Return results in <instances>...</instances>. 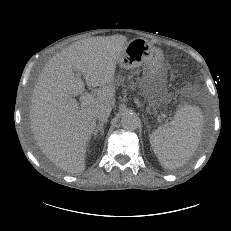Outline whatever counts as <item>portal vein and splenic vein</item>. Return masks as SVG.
I'll return each instance as SVG.
<instances>
[{"mask_svg": "<svg viewBox=\"0 0 231 231\" xmlns=\"http://www.w3.org/2000/svg\"><path fill=\"white\" fill-rule=\"evenodd\" d=\"M94 100V97L90 93H86L81 98V106L89 105Z\"/></svg>", "mask_w": 231, "mask_h": 231, "instance_id": "18ae733b", "label": "portal vein and splenic vein"}]
</instances>
